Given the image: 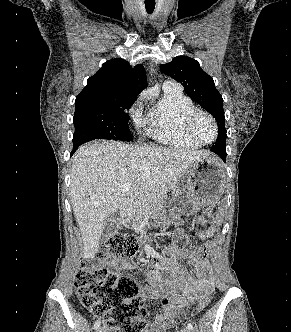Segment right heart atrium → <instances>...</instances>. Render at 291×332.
I'll return each instance as SVG.
<instances>
[{
	"label": "right heart atrium",
	"instance_id": "1",
	"mask_svg": "<svg viewBox=\"0 0 291 332\" xmlns=\"http://www.w3.org/2000/svg\"><path fill=\"white\" fill-rule=\"evenodd\" d=\"M135 117L138 118L139 117V110L137 109L135 112Z\"/></svg>",
	"mask_w": 291,
	"mask_h": 332
}]
</instances>
